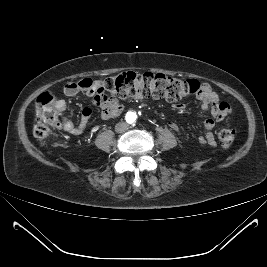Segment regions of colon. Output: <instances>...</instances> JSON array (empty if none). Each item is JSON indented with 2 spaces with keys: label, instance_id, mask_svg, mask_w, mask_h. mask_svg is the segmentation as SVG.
Here are the masks:
<instances>
[{
  "label": "colon",
  "instance_id": "5ec220e1",
  "mask_svg": "<svg viewBox=\"0 0 267 267\" xmlns=\"http://www.w3.org/2000/svg\"><path fill=\"white\" fill-rule=\"evenodd\" d=\"M77 85L84 89L96 103L116 98L141 97L165 99L176 102L203 92L205 85L194 79H180L164 74L124 72L100 80L83 79ZM60 126L54 107V98L43 94L36 105V123L33 133L43 141L53 129ZM234 130L226 125L219 133L220 145L228 149L234 142Z\"/></svg>",
  "mask_w": 267,
  "mask_h": 267
}]
</instances>
